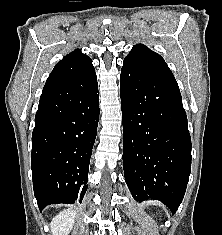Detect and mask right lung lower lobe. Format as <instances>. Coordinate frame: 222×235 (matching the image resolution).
Returning a JSON list of instances; mask_svg holds the SVG:
<instances>
[{
	"instance_id": "1",
	"label": "right lung lower lobe",
	"mask_w": 222,
	"mask_h": 235,
	"mask_svg": "<svg viewBox=\"0 0 222 235\" xmlns=\"http://www.w3.org/2000/svg\"><path fill=\"white\" fill-rule=\"evenodd\" d=\"M99 121L95 70L64 81H46L35 116L31 169L40 211L82 201Z\"/></svg>"
}]
</instances>
